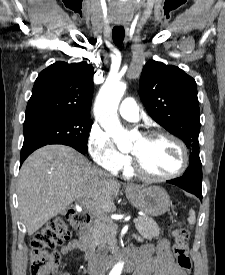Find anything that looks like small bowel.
Here are the masks:
<instances>
[{"label": "small bowel", "mask_w": 225, "mask_h": 275, "mask_svg": "<svg viewBox=\"0 0 225 275\" xmlns=\"http://www.w3.org/2000/svg\"><path fill=\"white\" fill-rule=\"evenodd\" d=\"M76 250H82V246L80 240L74 238L62 246L61 253L68 255ZM135 259L139 265L134 275H187L175 264L166 239L159 240L156 246L141 247L136 252ZM61 275L70 274L62 273Z\"/></svg>", "instance_id": "1"}]
</instances>
